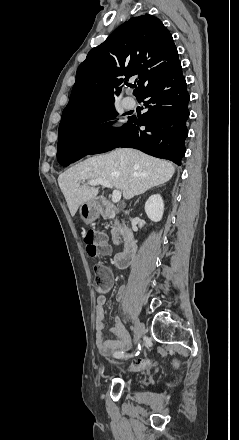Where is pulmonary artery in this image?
<instances>
[{
	"instance_id": "1",
	"label": "pulmonary artery",
	"mask_w": 239,
	"mask_h": 440,
	"mask_svg": "<svg viewBox=\"0 0 239 440\" xmlns=\"http://www.w3.org/2000/svg\"><path fill=\"white\" fill-rule=\"evenodd\" d=\"M122 105L127 110H132L136 107V101L131 97H125L122 100Z\"/></svg>"
}]
</instances>
